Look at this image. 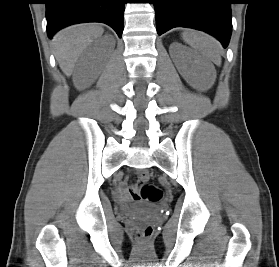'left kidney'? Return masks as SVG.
Returning a JSON list of instances; mask_svg holds the SVG:
<instances>
[{
    "mask_svg": "<svg viewBox=\"0 0 279 267\" xmlns=\"http://www.w3.org/2000/svg\"><path fill=\"white\" fill-rule=\"evenodd\" d=\"M177 46L180 47V45ZM189 59L193 60L191 67L188 62ZM174 63L180 75L193 88L203 89L210 85L209 76L205 68L206 63L191 50L181 47L174 59Z\"/></svg>",
    "mask_w": 279,
    "mask_h": 267,
    "instance_id": "left-kidney-1",
    "label": "left kidney"
}]
</instances>
